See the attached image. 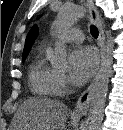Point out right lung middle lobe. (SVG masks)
Segmentation results:
<instances>
[{"label": "right lung middle lobe", "instance_id": "dd1d6c3e", "mask_svg": "<svg viewBox=\"0 0 123 130\" xmlns=\"http://www.w3.org/2000/svg\"><path fill=\"white\" fill-rule=\"evenodd\" d=\"M26 57H27V55L23 56V58H22L23 62L25 61Z\"/></svg>", "mask_w": 123, "mask_h": 130}]
</instances>
